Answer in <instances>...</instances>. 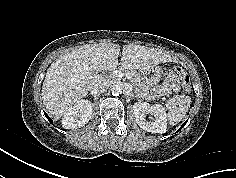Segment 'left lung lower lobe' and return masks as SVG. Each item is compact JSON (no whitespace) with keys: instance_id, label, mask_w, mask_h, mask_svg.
Masks as SVG:
<instances>
[{"instance_id":"0a47b994","label":"left lung lower lobe","mask_w":236,"mask_h":178,"mask_svg":"<svg viewBox=\"0 0 236 178\" xmlns=\"http://www.w3.org/2000/svg\"><path fill=\"white\" fill-rule=\"evenodd\" d=\"M185 124H186V122L181 126V128H180L178 131H180V130L182 129V127H183ZM178 131H177V132H178Z\"/></svg>"}]
</instances>
